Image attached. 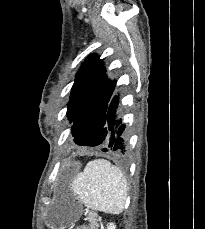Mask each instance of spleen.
<instances>
[{
    "label": "spleen",
    "mask_w": 205,
    "mask_h": 229,
    "mask_svg": "<svg viewBox=\"0 0 205 229\" xmlns=\"http://www.w3.org/2000/svg\"><path fill=\"white\" fill-rule=\"evenodd\" d=\"M70 186L73 194L90 209L110 214H119L124 210L127 181L123 173L107 160L88 162Z\"/></svg>",
    "instance_id": "obj_1"
}]
</instances>
